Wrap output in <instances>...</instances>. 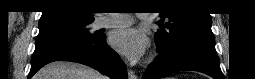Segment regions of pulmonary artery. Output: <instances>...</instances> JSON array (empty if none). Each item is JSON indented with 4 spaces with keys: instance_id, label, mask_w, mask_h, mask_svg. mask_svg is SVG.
Here are the masks:
<instances>
[{
    "instance_id": "obj_1",
    "label": "pulmonary artery",
    "mask_w": 255,
    "mask_h": 79,
    "mask_svg": "<svg viewBox=\"0 0 255 79\" xmlns=\"http://www.w3.org/2000/svg\"><path fill=\"white\" fill-rule=\"evenodd\" d=\"M148 14H137L138 18H145ZM133 18L127 14H111L109 16H102L96 20L98 28L113 27V26H128L132 23Z\"/></svg>"
}]
</instances>
